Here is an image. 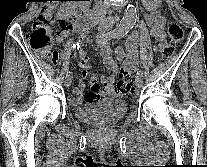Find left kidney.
Instances as JSON below:
<instances>
[{"label":"left kidney","mask_w":207,"mask_h":167,"mask_svg":"<svg viewBox=\"0 0 207 167\" xmlns=\"http://www.w3.org/2000/svg\"><path fill=\"white\" fill-rule=\"evenodd\" d=\"M157 4H159L161 2V0H154Z\"/></svg>","instance_id":"left-kidney-1"}]
</instances>
